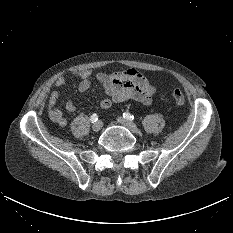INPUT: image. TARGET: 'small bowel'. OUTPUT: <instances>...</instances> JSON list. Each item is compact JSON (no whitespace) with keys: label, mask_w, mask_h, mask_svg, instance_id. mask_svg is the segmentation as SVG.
<instances>
[{"label":"small bowel","mask_w":233,"mask_h":233,"mask_svg":"<svg viewBox=\"0 0 233 233\" xmlns=\"http://www.w3.org/2000/svg\"><path fill=\"white\" fill-rule=\"evenodd\" d=\"M80 78L78 82V90L80 92L87 91L93 81L99 82L105 89L107 97L99 103L100 108L108 109L114 103L127 100H134L144 105L152 102L153 95L156 92V86L148 78L142 75L135 68H129L122 71H114L111 73L97 72L91 70H83L76 73ZM67 84V80L60 77L55 80V87H63ZM60 98V92L52 91L48 97V115L49 118L59 126H65L67 119L63 110L57 106ZM67 113H74L76 106L73 102L68 101L65 105Z\"/></svg>","instance_id":"obj_1"}]
</instances>
